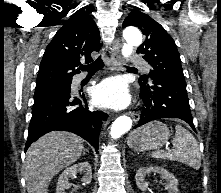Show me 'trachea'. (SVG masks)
Masks as SVG:
<instances>
[{"label": "trachea", "instance_id": "obj_1", "mask_svg": "<svg viewBox=\"0 0 221 193\" xmlns=\"http://www.w3.org/2000/svg\"><path fill=\"white\" fill-rule=\"evenodd\" d=\"M104 66L103 60L101 59V56L98 57L94 62L88 65L80 66V69L83 71H87L88 73L96 72L100 69H102Z\"/></svg>", "mask_w": 221, "mask_h": 193}]
</instances>
